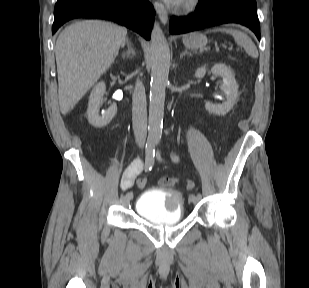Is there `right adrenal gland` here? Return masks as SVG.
Wrapping results in <instances>:
<instances>
[{
    "label": "right adrenal gland",
    "mask_w": 309,
    "mask_h": 288,
    "mask_svg": "<svg viewBox=\"0 0 309 288\" xmlns=\"http://www.w3.org/2000/svg\"><path fill=\"white\" fill-rule=\"evenodd\" d=\"M127 47H128L127 51L122 53L123 59L135 56V50L133 49L129 40H127Z\"/></svg>",
    "instance_id": "1"
}]
</instances>
